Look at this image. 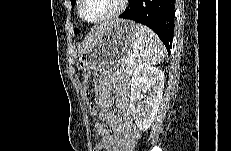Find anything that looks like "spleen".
<instances>
[{
  "label": "spleen",
  "instance_id": "1",
  "mask_svg": "<svg viewBox=\"0 0 231 151\" xmlns=\"http://www.w3.org/2000/svg\"><path fill=\"white\" fill-rule=\"evenodd\" d=\"M135 35L138 65L160 64L164 58V46L159 37L151 29L139 23L135 26Z\"/></svg>",
  "mask_w": 231,
  "mask_h": 151
}]
</instances>
